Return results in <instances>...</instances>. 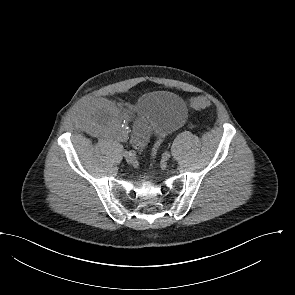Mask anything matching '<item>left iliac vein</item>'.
Returning <instances> with one entry per match:
<instances>
[{"mask_svg":"<svg viewBox=\"0 0 295 295\" xmlns=\"http://www.w3.org/2000/svg\"><path fill=\"white\" fill-rule=\"evenodd\" d=\"M167 161H168V157H164L163 156V160H162V163H161V165H162L163 168H166L167 167V164H168Z\"/></svg>","mask_w":295,"mask_h":295,"instance_id":"left-iliac-vein-1","label":"left iliac vein"}]
</instances>
